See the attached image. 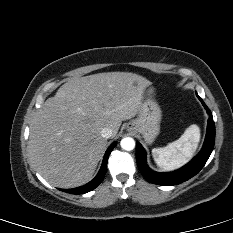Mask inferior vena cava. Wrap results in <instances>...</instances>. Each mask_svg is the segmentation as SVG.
<instances>
[{
    "label": "inferior vena cava",
    "mask_w": 233,
    "mask_h": 233,
    "mask_svg": "<svg viewBox=\"0 0 233 233\" xmlns=\"http://www.w3.org/2000/svg\"><path fill=\"white\" fill-rule=\"evenodd\" d=\"M112 130L109 128H103L101 131V136L105 139L112 137Z\"/></svg>",
    "instance_id": "602c4592"
}]
</instances>
